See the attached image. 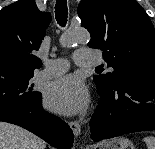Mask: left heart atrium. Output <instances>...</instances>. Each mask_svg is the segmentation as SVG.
Here are the masks:
<instances>
[{"label": "left heart atrium", "mask_w": 155, "mask_h": 149, "mask_svg": "<svg viewBox=\"0 0 155 149\" xmlns=\"http://www.w3.org/2000/svg\"><path fill=\"white\" fill-rule=\"evenodd\" d=\"M47 107L57 113L72 115L80 112L88 103V92L75 75H66L50 83L45 92Z\"/></svg>", "instance_id": "1"}]
</instances>
